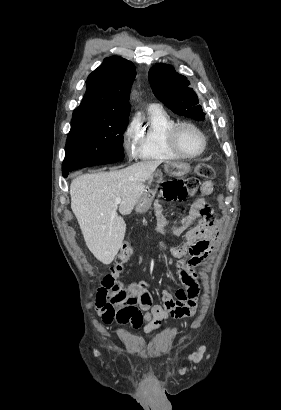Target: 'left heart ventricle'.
I'll list each match as a JSON object with an SVG mask.
<instances>
[{"label":"left heart ventricle","instance_id":"1","mask_svg":"<svg viewBox=\"0 0 281 410\" xmlns=\"http://www.w3.org/2000/svg\"><path fill=\"white\" fill-rule=\"evenodd\" d=\"M178 142L180 147L189 154L200 151L203 144L200 134L188 127L181 129L178 135Z\"/></svg>","mask_w":281,"mask_h":410}]
</instances>
